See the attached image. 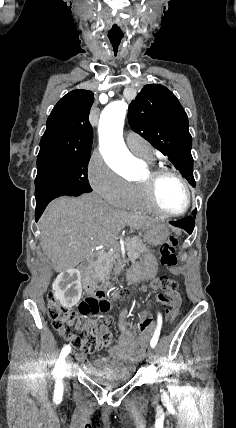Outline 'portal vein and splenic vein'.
<instances>
[{"label": "portal vein and splenic vein", "mask_w": 236, "mask_h": 428, "mask_svg": "<svg viewBox=\"0 0 236 428\" xmlns=\"http://www.w3.org/2000/svg\"><path fill=\"white\" fill-rule=\"evenodd\" d=\"M110 246H114V244H110Z\"/></svg>", "instance_id": "obj_1"}]
</instances>
